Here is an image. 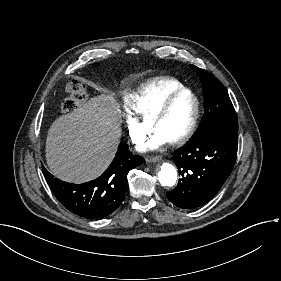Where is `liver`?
<instances>
[{
    "instance_id": "1",
    "label": "liver",
    "mask_w": 281,
    "mask_h": 281,
    "mask_svg": "<svg viewBox=\"0 0 281 281\" xmlns=\"http://www.w3.org/2000/svg\"><path fill=\"white\" fill-rule=\"evenodd\" d=\"M119 106L113 93L100 94L53 121L45 140V159L53 175L82 183L104 172L123 134Z\"/></svg>"
}]
</instances>
